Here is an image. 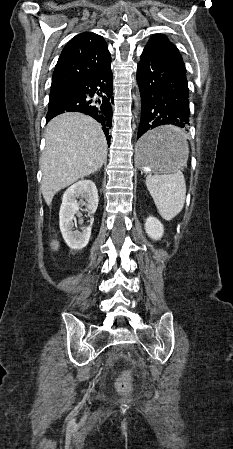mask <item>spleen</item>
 <instances>
[{
    "label": "spleen",
    "mask_w": 233,
    "mask_h": 449,
    "mask_svg": "<svg viewBox=\"0 0 233 449\" xmlns=\"http://www.w3.org/2000/svg\"><path fill=\"white\" fill-rule=\"evenodd\" d=\"M178 132L181 139H184L182 133ZM185 143L188 152L186 140ZM146 186L162 218L170 221L182 211L185 203L186 187L183 174L179 168H175L173 171L163 175H148L146 177Z\"/></svg>",
    "instance_id": "obj_1"
}]
</instances>
